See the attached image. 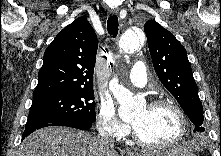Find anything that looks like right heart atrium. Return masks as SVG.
Returning <instances> with one entry per match:
<instances>
[{"mask_svg":"<svg viewBox=\"0 0 221 156\" xmlns=\"http://www.w3.org/2000/svg\"><path fill=\"white\" fill-rule=\"evenodd\" d=\"M96 126L100 134L114 139H122L130 132V126L119 119L108 100H101L98 105Z\"/></svg>","mask_w":221,"mask_h":156,"instance_id":"d8ad5b80","label":"right heart atrium"}]
</instances>
